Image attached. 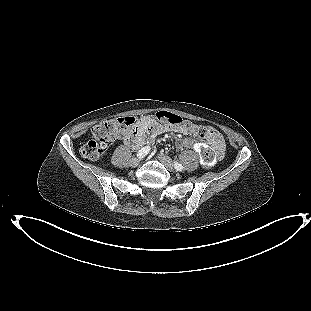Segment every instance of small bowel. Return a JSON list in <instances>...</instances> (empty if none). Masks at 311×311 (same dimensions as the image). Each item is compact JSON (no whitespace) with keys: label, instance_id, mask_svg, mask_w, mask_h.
<instances>
[{"label":"small bowel","instance_id":"obj_1","mask_svg":"<svg viewBox=\"0 0 311 311\" xmlns=\"http://www.w3.org/2000/svg\"><path fill=\"white\" fill-rule=\"evenodd\" d=\"M169 131L185 132L181 127L160 124L150 117H142L137 127L125 137L124 142L126 145L137 149L144 144L151 143L158 135ZM208 132L210 133L211 144L214 148L224 146L222 136L218 131L209 127ZM190 144L189 140L178 139L176 141V146L179 149Z\"/></svg>","mask_w":311,"mask_h":311}]
</instances>
